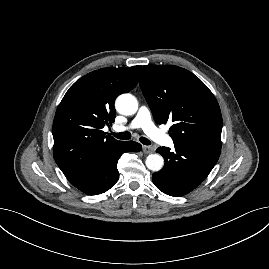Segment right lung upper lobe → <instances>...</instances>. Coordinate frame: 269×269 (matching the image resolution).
I'll use <instances>...</instances> for the list:
<instances>
[{
    "instance_id": "obj_1",
    "label": "right lung upper lobe",
    "mask_w": 269,
    "mask_h": 269,
    "mask_svg": "<svg viewBox=\"0 0 269 269\" xmlns=\"http://www.w3.org/2000/svg\"><path fill=\"white\" fill-rule=\"evenodd\" d=\"M141 66L103 68L76 81L60 102L53 121L54 159L65 176L122 141L102 128L115 120L116 97L138 83Z\"/></svg>"
}]
</instances>
